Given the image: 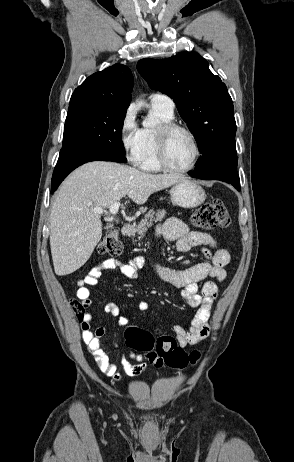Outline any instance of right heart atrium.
<instances>
[{
  "mask_svg": "<svg viewBox=\"0 0 294 462\" xmlns=\"http://www.w3.org/2000/svg\"><path fill=\"white\" fill-rule=\"evenodd\" d=\"M119 138L128 161L133 165H138L142 152L141 130L132 108H128L121 119Z\"/></svg>",
  "mask_w": 294,
  "mask_h": 462,
  "instance_id": "d8ad5b80",
  "label": "right heart atrium"
}]
</instances>
